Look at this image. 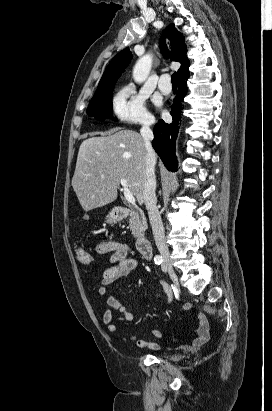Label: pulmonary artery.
Segmentation results:
<instances>
[{
	"instance_id": "pulmonary-artery-1",
	"label": "pulmonary artery",
	"mask_w": 272,
	"mask_h": 411,
	"mask_svg": "<svg viewBox=\"0 0 272 411\" xmlns=\"http://www.w3.org/2000/svg\"><path fill=\"white\" fill-rule=\"evenodd\" d=\"M158 87L160 91L164 94H168L171 92L172 87L171 84L169 83V75L168 74H163L158 83Z\"/></svg>"
}]
</instances>
